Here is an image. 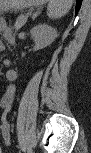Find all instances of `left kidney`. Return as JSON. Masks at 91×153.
I'll return each mask as SVG.
<instances>
[{"label":"left kidney","instance_id":"1","mask_svg":"<svg viewBox=\"0 0 91 153\" xmlns=\"http://www.w3.org/2000/svg\"><path fill=\"white\" fill-rule=\"evenodd\" d=\"M31 35L35 41L34 50H39L47 47L55 40L57 31L47 24H40L31 30Z\"/></svg>","mask_w":91,"mask_h":153}]
</instances>
